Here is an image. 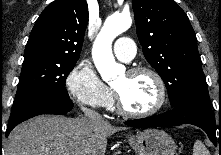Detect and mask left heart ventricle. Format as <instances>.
I'll return each instance as SVG.
<instances>
[{
  "mask_svg": "<svg viewBox=\"0 0 221 155\" xmlns=\"http://www.w3.org/2000/svg\"><path fill=\"white\" fill-rule=\"evenodd\" d=\"M125 106L134 112H145L158 102L159 92L156 81L149 74H122L114 83Z\"/></svg>",
  "mask_w": 221,
  "mask_h": 155,
  "instance_id": "obj_1",
  "label": "left heart ventricle"
}]
</instances>
